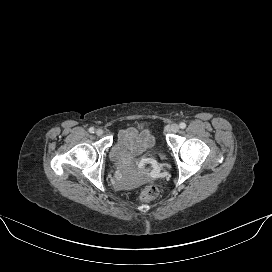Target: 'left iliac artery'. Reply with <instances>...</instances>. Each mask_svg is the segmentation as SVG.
Returning a JSON list of instances; mask_svg holds the SVG:
<instances>
[{
    "label": "left iliac artery",
    "mask_w": 272,
    "mask_h": 272,
    "mask_svg": "<svg viewBox=\"0 0 272 272\" xmlns=\"http://www.w3.org/2000/svg\"><path fill=\"white\" fill-rule=\"evenodd\" d=\"M179 127H180L181 129H184V128L186 127V124H185L184 122H181V123L179 124Z\"/></svg>",
    "instance_id": "44dca946"
}]
</instances>
